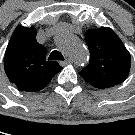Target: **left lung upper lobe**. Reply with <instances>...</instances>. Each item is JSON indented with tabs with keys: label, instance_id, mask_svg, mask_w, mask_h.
Segmentation results:
<instances>
[{
	"label": "left lung upper lobe",
	"instance_id": "5c2ea615",
	"mask_svg": "<svg viewBox=\"0 0 135 135\" xmlns=\"http://www.w3.org/2000/svg\"><path fill=\"white\" fill-rule=\"evenodd\" d=\"M89 64L79 74L93 87L104 89L122 83L129 75L131 56L120 38L108 27L85 32Z\"/></svg>",
	"mask_w": 135,
	"mask_h": 135
}]
</instances>
